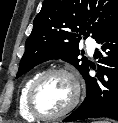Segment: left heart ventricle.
<instances>
[{"label":"left heart ventricle","instance_id":"b2bd125f","mask_svg":"<svg viewBox=\"0 0 118 123\" xmlns=\"http://www.w3.org/2000/svg\"><path fill=\"white\" fill-rule=\"evenodd\" d=\"M74 94L72 81L63 74L48 77L35 95L37 109L43 114H57L71 102Z\"/></svg>","mask_w":118,"mask_h":123}]
</instances>
